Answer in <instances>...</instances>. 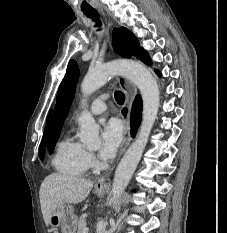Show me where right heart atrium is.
<instances>
[{
	"mask_svg": "<svg viewBox=\"0 0 227 233\" xmlns=\"http://www.w3.org/2000/svg\"><path fill=\"white\" fill-rule=\"evenodd\" d=\"M87 160H88L89 166H93L96 163V159L94 155L89 152H87Z\"/></svg>",
	"mask_w": 227,
	"mask_h": 233,
	"instance_id": "obj_1",
	"label": "right heart atrium"
}]
</instances>
